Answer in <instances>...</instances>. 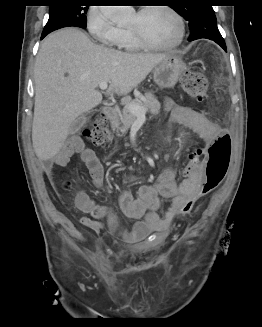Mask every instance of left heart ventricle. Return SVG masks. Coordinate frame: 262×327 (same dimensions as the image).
Here are the masks:
<instances>
[{
    "label": "left heart ventricle",
    "mask_w": 262,
    "mask_h": 327,
    "mask_svg": "<svg viewBox=\"0 0 262 327\" xmlns=\"http://www.w3.org/2000/svg\"><path fill=\"white\" fill-rule=\"evenodd\" d=\"M128 28L139 30L157 44L172 43L179 35L176 19L163 9H151L141 14L134 12L129 19Z\"/></svg>",
    "instance_id": "1"
}]
</instances>
